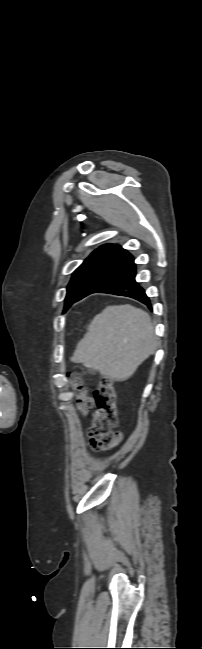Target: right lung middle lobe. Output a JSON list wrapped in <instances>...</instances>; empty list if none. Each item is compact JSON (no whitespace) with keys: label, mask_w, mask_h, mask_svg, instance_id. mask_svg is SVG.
<instances>
[{"label":"right lung middle lobe","mask_w":202,"mask_h":649,"mask_svg":"<svg viewBox=\"0 0 202 649\" xmlns=\"http://www.w3.org/2000/svg\"><path fill=\"white\" fill-rule=\"evenodd\" d=\"M116 257L117 256L108 254H91L84 261V263L73 273L72 279L67 287L64 311H66L74 302L79 300L78 297L85 286Z\"/></svg>","instance_id":"obj_1"}]
</instances>
